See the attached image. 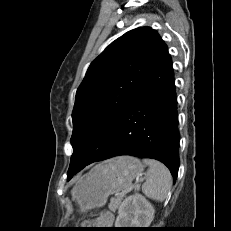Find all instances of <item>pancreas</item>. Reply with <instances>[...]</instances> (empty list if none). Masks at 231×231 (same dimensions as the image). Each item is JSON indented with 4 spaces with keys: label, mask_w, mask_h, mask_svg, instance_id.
<instances>
[{
    "label": "pancreas",
    "mask_w": 231,
    "mask_h": 231,
    "mask_svg": "<svg viewBox=\"0 0 231 231\" xmlns=\"http://www.w3.org/2000/svg\"><path fill=\"white\" fill-rule=\"evenodd\" d=\"M122 199H123L122 196H117V197L111 198L110 204H109V209L111 211H116V209L121 205Z\"/></svg>",
    "instance_id": "obj_1"
}]
</instances>
